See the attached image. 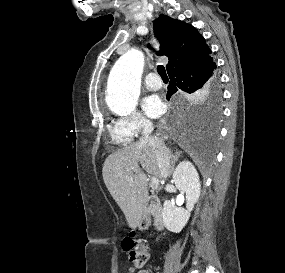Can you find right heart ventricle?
I'll list each match as a JSON object with an SVG mask.
<instances>
[{
	"instance_id": "obj_1",
	"label": "right heart ventricle",
	"mask_w": 285,
	"mask_h": 273,
	"mask_svg": "<svg viewBox=\"0 0 285 273\" xmlns=\"http://www.w3.org/2000/svg\"><path fill=\"white\" fill-rule=\"evenodd\" d=\"M109 133L113 142L120 146H125L132 140L130 136L126 135L118 128L117 124L109 126Z\"/></svg>"
}]
</instances>
